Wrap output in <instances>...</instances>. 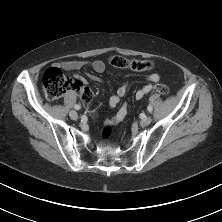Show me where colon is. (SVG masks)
I'll return each mask as SVG.
<instances>
[{"label":"colon","mask_w":222,"mask_h":222,"mask_svg":"<svg viewBox=\"0 0 222 222\" xmlns=\"http://www.w3.org/2000/svg\"><path fill=\"white\" fill-rule=\"evenodd\" d=\"M108 62L115 68L131 69L134 71H146L153 67L152 62L149 60L130 59L121 55L111 56ZM42 86L47 98L57 99L74 88V81L69 76H66L58 67H49L43 74ZM152 91L165 95L168 93V88L162 84H155ZM82 97L84 99L88 98L89 92L84 90L82 92ZM111 133V127L106 126L103 129L102 137L107 139L110 137Z\"/></svg>","instance_id":"1"}]
</instances>
